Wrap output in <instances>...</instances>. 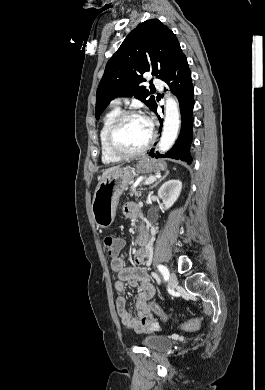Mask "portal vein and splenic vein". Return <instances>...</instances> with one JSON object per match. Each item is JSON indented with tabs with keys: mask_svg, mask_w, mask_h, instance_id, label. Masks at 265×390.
<instances>
[{
	"mask_svg": "<svg viewBox=\"0 0 265 390\" xmlns=\"http://www.w3.org/2000/svg\"><path fill=\"white\" fill-rule=\"evenodd\" d=\"M154 181H156V177L155 176H151L144 182V184L148 185V184L153 183Z\"/></svg>",
	"mask_w": 265,
	"mask_h": 390,
	"instance_id": "obj_1",
	"label": "portal vein and splenic vein"
}]
</instances>
